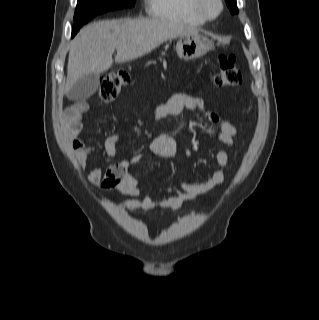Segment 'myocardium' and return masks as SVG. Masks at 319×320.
<instances>
[{"instance_id":"1","label":"myocardium","mask_w":319,"mask_h":320,"mask_svg":"<svg viewBox=\"0 0 319 320\" xmlns=\"http://www.w3.org/2000/svg\"><path fill=\"white\" fill-rule=\"evenodd\" d=\"M215 1L218 5V9L215 13H210L208 11L206 7V0H193L192 6L195 13L200 18H202L205 21H214L221 15L224 8L223 0H215Z\"/></svg>"}]
</instances>
